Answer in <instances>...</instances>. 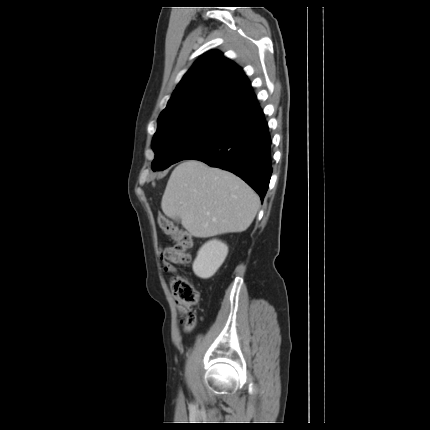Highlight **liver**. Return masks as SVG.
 I'll return each instance as SVG.
<instances>
[{
  "label": "liver",
  "mask_w": 430,
  "mask_h": 430,
  "mask_svg": "<svg viewBox=\"0 0 430 430\" xmlns=\"http://www.w3.org/2000/svg\"><path fill=\"white\" fill-rule=\"evenodd\" d=\"M259 206L258 195L240 177L194 159L173 170L161 201L164 214L181 219L197 238L245 231Z\"/></svg>",
  "instance_id": "1"
}]
</instances>
